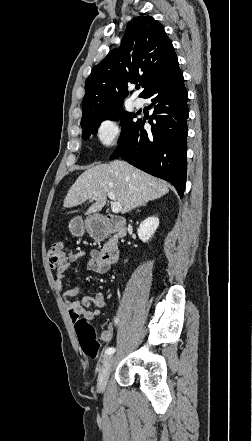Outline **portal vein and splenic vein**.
<instances>
[{
    "label": "portal vein and splenic vein",
    "mask_w": 252,
    "mask_h": 441,
    "mask_svg": "<svg viewBox=\"0 0 252 441\" xmlns=\"http://www.w3.org/2000/svg\"><path fill=\"white\" fill-rule=\"evenodd\" d=\"M108 197L113 201L111 209L113 213H119L122 209V206L119 202L116 201L115 194L112 192L108 193Z\"/></svg>",
    "instance_id": "18ae733b"
}]
</instances>
